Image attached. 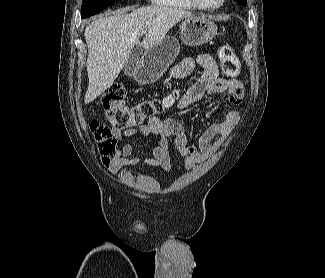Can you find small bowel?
Returning <instances> with one entry per match:
<instances>
[{
	"mask_svg": "<svg viewBox=\"0 0 325 278\" xmlns=\"http://www.w3.org/2000/svg\"><path fill=\"white\" fill-rule=\"evenodd\" d=\"M196 65L203 68L200 78L188 88L185 94L175 105L178 111L184 110L191 104L199 101L205 94L226 93L232 105H238L243 97L244 86L236 78L219 77L218 66L209 54H200L196 58H185L171 70V77L183 78L190 75ZM239 112L234 109L227 110L220 121L208 126L202 133L197 145L189 142L182 125L173 118L153 117L146 124L127 129L113 128L112 134L117 140L133 135H156L158 145L150 150V156H136L132 144H124L114 155L111 172L116 173L121 168L146 164L165 172H170L169 139L174 137L177 150L185 159L187 170H193L198 161L213 153L220 145V141L229 134L233 126L239 121Z\"/></svg>",
	"mask_w": 325,
	"mask_h": 278,
	"instance_id": "obj_1",
	"label": "small bowel"
}]
</instances>
